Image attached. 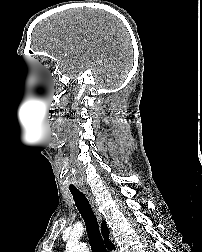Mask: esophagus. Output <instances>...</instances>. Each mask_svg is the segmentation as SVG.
Returning <instances> with one entry per match:
<instances>
[{"mask_svg":"<svg viewBox=\"0 0 202 252\" xmlns=\"http://www.w3.org/2000/svg\"><path fill=\"white\" fill-rule=\"evenodd\" d=\"M83 192H84L85 196L87 197V199H88V201H89V203H90V205H91L97 219L101 220L102 216H101V214H100V212L98 210V205H97V202H96L94 196L85 188L83 189Z\"/></svg>","mask_w":202,"mask_h":252,"instance_id":"1","label":"esophagus"}]
</instances>
